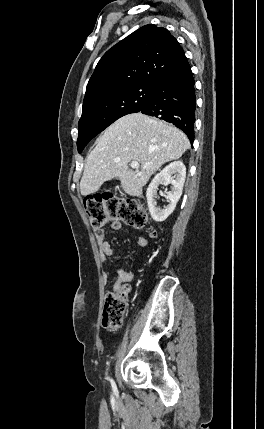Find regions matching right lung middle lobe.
<instances>
[{"mask_svg": "<svg viewBox=\"0 0 264 429\" xmlns=\"http://www.w3.org/2000/svg\"><path fill=\"white\" fill-rule=\"evenodd\" d=\"M156 84L125 87L83 104L77 140L78 152L120 117L139 112L152 95Z\"/></svg>", "mask_w": 264, "mask_h": 429, "instance_id": "obj_1", "label": "right lung middle lobe"}]
</instances>
